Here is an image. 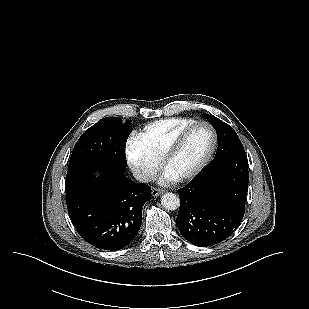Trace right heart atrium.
Segmentation results:
<instances>
[{
  "label": "right heart atrium",
  "mask_w": 309,
  "mask_h": 309,
  "mask_svg": "<svg viewBox=\"0 0 309 309\" xmlns=\"http://www.w3.org/2000/svg\"><path fill=\"white\" fill-rule=\"evenodd\" d=\"M126 157L134 176L141 182L152 180L160 168V159L148 151L137 137L128 140Z\"/></svg>",
  "instance_id": "1"
}]
</instances>
